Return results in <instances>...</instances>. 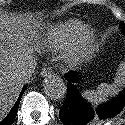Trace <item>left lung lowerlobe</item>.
I'll use <instances>...</instances> for the list:
<instances>
[{
	"instance_id": "0a47b994",
	"label": "left lung lower lobe",
	"mask_w": 125,
	"mask_h": 125,
	"mask_svg": "<svg viewBox=\"0 0 125 125\" xmlns=\"http://www.w3.org/2000/svg\"><path fill=\"white\" fill-rule=\"evenodd\" d=\"M67 83L66 100L59 111V118L65 125H96V123L113 118L125 106V89L115 99L93 109L79 94L75 83L77 72L65 74Z\"/></svg>"
}]
</instances>
